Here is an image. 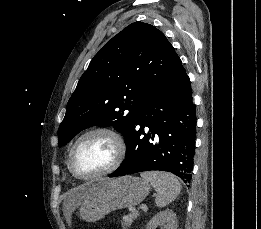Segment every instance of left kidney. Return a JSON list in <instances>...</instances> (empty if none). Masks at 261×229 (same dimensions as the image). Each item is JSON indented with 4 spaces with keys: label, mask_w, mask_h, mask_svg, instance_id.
I'll use <instances>...</instances> for the list:
<instances>
[{
    "label": "left kidney",
    "mask_w": 261,
    "mask_h": 229,
    "mask_svg": "<svg viewBox=\"0 0 261 229\" xmlns=\"http://www.w3.org/2000/svg\"><path fill=\"white\" fill-rule=\"evenodd\" d=\"M158 225H164L165 229H177V217L173 211L166 209L157 213L151 221H149L146 229H156Z\"/></svg>",
    "instance_id": "5707ae66"
}]
</instances>
